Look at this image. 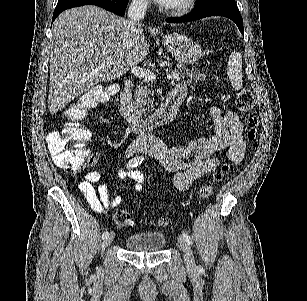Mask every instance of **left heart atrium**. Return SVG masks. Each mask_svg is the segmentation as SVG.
I'll return each instance as SVG.
<instances>
[{
    "label": "left heart atrium",
    "instance_id": "left-heart-atrium-1",
    "mask_svg": "<svg viewBox=\"0 0 307 301\" xmlns=\"http://www.w3.org/2000/svg\"><path fill=\"white\" fill-rule=\"evenodd\" d=\"M158 4H169L170 1L172 2L173 0H157ZM123 62H138V61H123Z\"/></svg>",
    "mask_w": 307,
    "mask_h": 301
}]
</instances>
